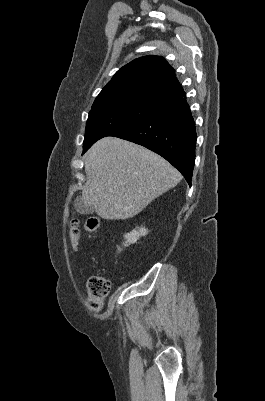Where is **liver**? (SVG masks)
Returning a JSON list of instances; mask_svg holds the SVG:
<instances>
[{
  "mask_svg": "<svg viewBox=\"0 0 265 401\" xmlns=\"http://www.w3.org/2000/svg\"><path fill=\"white\" fill-rule=\"evenodd\" d=\"M82 198L101 219H129L176 186L182 174L165 158L128 140L105 136L85 154Z\"/></svg>",
  "mask_w": 265,
  "mask_h": 401,
  "instance_id": "liver-1",
  "label": "liver"
}]
</instances>
